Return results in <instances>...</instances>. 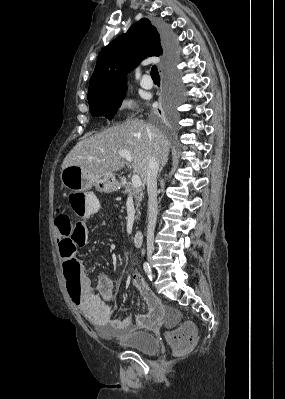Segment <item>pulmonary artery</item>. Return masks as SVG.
Returning a JSON list of instances; mask_svg holds the SVG:
<instances>
[{
    "instance_id": "1",
    "label": "pulmonary artery",
    "mask_w": 285,
    "mask_h": 399,
    "mask_svg": "<svg viewBox=\"0 0 285 399\" xmlns=\"http://www.w3.org/2000/svg\"><path fill=\"white\" fill-rule=\"evenodd\" d=\"M140 85H141L142 88L147 89V90L151 89L153 87V82L150 79V76H149L148 73H146L144 75L143 79L140 82Z\"/></svg>"
}]
</instances>
